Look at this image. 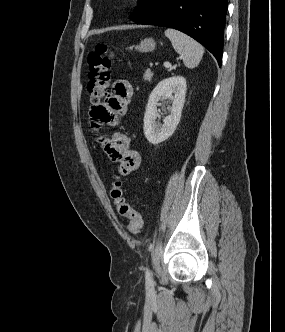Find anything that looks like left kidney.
Wrapping results in <instances>:
<instances>
[{"instance_id": "5707ae66", "label": "left kidney", "mask_w": 285, "mask_h": 332, "mask_svg": "<svg viewBox=\"0 0 285 332\" xmlns=\"http://www.w3.org/2000/svg\"><path fill=\"white\" fill-rule=\"evenodd\" d=\"M186 79L174 76L160 81L151 92L144 115V134L147 140L157 145L168 139L175 131L185 102ZM164 98L172 100L171 113L165 117L164 124H155L158 102Z\"/></svg>"}]
</instances>
